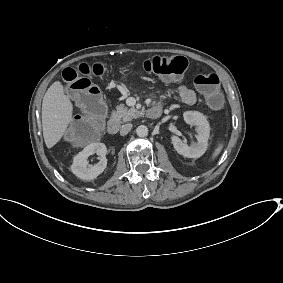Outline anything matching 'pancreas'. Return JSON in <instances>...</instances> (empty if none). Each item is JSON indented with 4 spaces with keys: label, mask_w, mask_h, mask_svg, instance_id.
Instances as JSON below:
<instances>
[{
    "label": "pancreas",
    "mask_w": 283,
    "mask_h": 283,
    "mask_svg": "<svg viewBox=\"0 0 283 283\" xmlns=\"http://www.w3.org/2000/svg\"><path fill=\"white\" fill-rule=\"evenodd\" d=\"M141 116V112L135 108L128 109L123 104H120L116 107L111 114V119L115 121H119L121 123L131 121L134 118H138Z\"/></svg>",
    "instance_id": "1"
}]
</instances>
